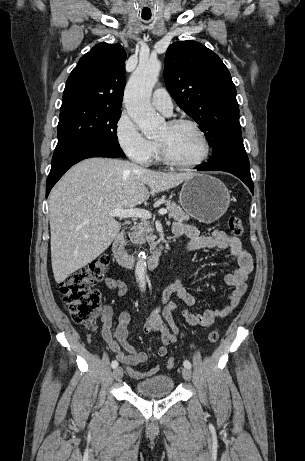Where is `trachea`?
I'll list each match as a JSON object with an SVG mask.
<instances>
[{
    "instance_id": "obj_1",
    "label": "trachea",
    "mask_w": 305,
    "mask_h": 461,
    "mask_svg": "<svg viewBox=\"0 0 305 461\" xmlns=\"http://www.w3.org/2000/svg\"><path fill=\"white\" fill-rule=\"evenodd\" d=\"M144 19H145V20H148V19H150V18H144Z\"/></svg>"
}]
</instances>
